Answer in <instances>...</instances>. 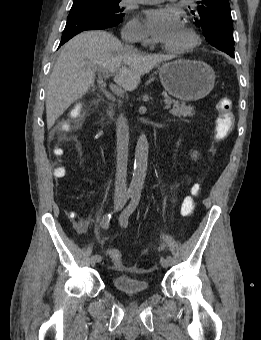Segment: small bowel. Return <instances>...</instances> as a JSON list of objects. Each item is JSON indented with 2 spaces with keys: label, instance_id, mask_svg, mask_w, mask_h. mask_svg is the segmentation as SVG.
I'll use <instances>...</instances> for the list:
<instances>
[{
  "label": "small bowel",
  "instance_id": "c3829d8e",
  "mask_svg": "<svg viewBox=\"0 0 261 340\" xmlns=\"http://www.w3.org/2000/svg\"><path fill=\"white\" fill-rule=\"evenodd\" d=\"M74 224H75V228H76L77 232L84 233L88 228L89 218H87V217H76Z\"/></svg>",
  "mask_w": 261,
  "mask_h": 340
}]
</instances>
